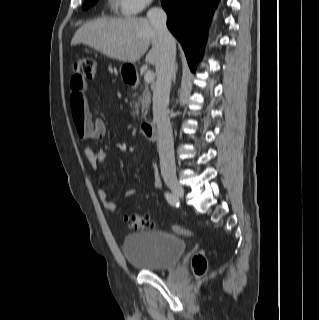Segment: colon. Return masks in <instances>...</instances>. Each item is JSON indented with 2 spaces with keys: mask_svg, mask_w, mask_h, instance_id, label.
I'll return each instance as SVG.
<instances>
[{
  "mask_svg": "<svg viewBox=\"0 0 319 320\" xmlns=\"http://www.w3.org/2000/svg\"><path fill=\"white\" fill-rule=\"evenodd\" d=\"M74 76L79 81L85 82L92 80L96 74V62L94 59L84 57L76 60L73 66ZM73 121L76 127V132L81 141L93 139V129L83 114L74 113ZM125 226L130 230H141L153 227L148 216L138 215L135 213H127L123 217ZM172 231L175 234L182 236H191L192 232L182 226H172ZM192 268L196 276H202L207 269V260L203 255H196L192 259Z\"/></svg>",
  "mask_w": 319,
  "mask_h": 320,
  "instance_id": "5ec220e1",
  "label": "colon"
}]
</instances>
